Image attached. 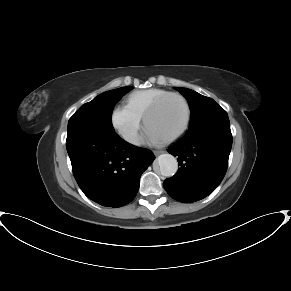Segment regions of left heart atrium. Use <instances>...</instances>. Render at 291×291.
Instances as JSON below:
<instances>
[{"instance_id":"obj_1","label":"left heart atrium","mask_w":291,"mask_h":291,"mask_svg":"<svg viewBox=\"0 0 291 291\" xmlns=\"http://www.w3.org/2000/svg\"><path fill=\"white\" fill-rule=\"evenodd\" d=\"M164 138L156 133L151 127H146L144 135L142 136V141H149L153 143L161 142Z\"/></svg>"}]
</instances>
